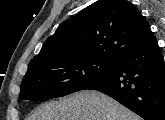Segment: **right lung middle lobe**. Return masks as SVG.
Returning a JSON list of instances; mask_svg holds the SVG:
<instances>
[{
	"label": "right lung middle lobe",
	"mask_w": 165,
	"mask_h": 120,
	"mask_svg": "<svg viewBox=\"0 0 165 120\" xmlns=\"http://www.w3.org/2000/svg\"><path fill=\"white\" fill-rule=\"evenodd\" d=\"M114 62L95 58H73L28 67L20 98L47 101L82 90L110 73Z\"/></svg>",
	"instance_id": "dd1d6c3e"
}]
</instances>
